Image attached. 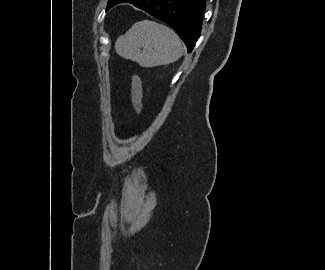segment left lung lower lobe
<instances>
[{"label":"left lung lower lobe","instance_id":"left-lung-lower-lobe-1","mask_svg":"<svg viewBox=\"0 0 325 270\" xmlns=\"http://www.w3.org/2000/svg\"><path fill=\"white\" fill-rule=\"evenodd\" d=\"M124 2L170 25L192 51L200 36L205 0H119L117 4Z\"/></svg>","mask_w":325,"mask_h":270}]
</instances>
